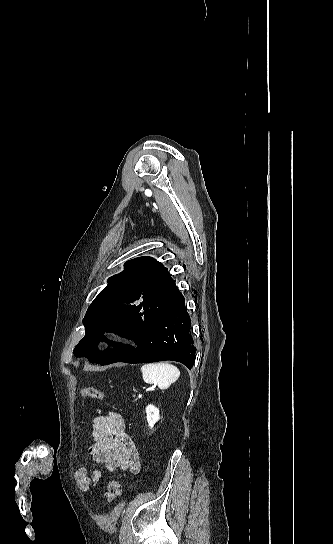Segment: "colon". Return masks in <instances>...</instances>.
Returning <instances> with one entry per match:
<instances>
[{"label": "colon", "instance_id": "1", "mask_svg": "<svg viewBox=\"0 0 333 544\" xmlns=\"http://www.w3.org/2000/svg\"><path fill=\"white\" fill-rule=\"evenodd\" d=\"M81 397H90L98 401H104L105 397L98 389L94 387H85L81 390ZM121 492L120 483L117 480H110L107 485V503H112Z\"/></svg>", "mask_w": 333, "mask_h": 544}]
</instances>
